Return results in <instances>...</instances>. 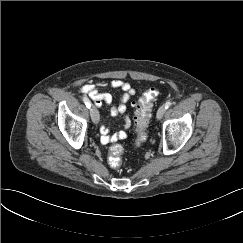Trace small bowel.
Returning <instances> with one entry per match:
<instances>
[{
	"instance_id": "1",
	"label": "small bowel",
	"mask_w": 243,
	"mask_h": 243,
	"mask_svg": "<svg viewBox=\"0 0 243 243\" xmlns=\"http://www.w3.org/2000/svg\"><path fill=\"white\" fill-rule=\"evenodd\" d=\"M103 86H109L112 89H120L123 91V95L118 104H113V97L110 93L100 91V87ZM80 90L83 94L88 95L96 106L100 107L103 103H106L111 106L110 113L113 117L123 118L124 129L114 134H110L109 129L105 124L101 126V142L103 144H108L126 138L127 134L125 130L130 126V117L126 113V104L130 97L135 93L131 85L123 80L115 79L109 83L84 84L81 86Z\"/></svg>"
}]
</instances>
